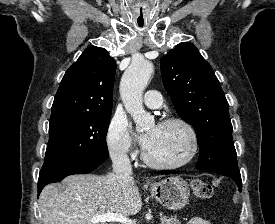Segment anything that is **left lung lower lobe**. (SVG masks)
<instances>
[{"mask_svg":"<svg viewBox=\"0 0 275 224\" xmlns=\"http://www.w3.org/2000/svg\"><path fill=\"white\" fill-rule=\"evenodd\" d=\"M197 169L199 170H206L203 167H200L197 165ZM174 173H178V172H174ZM224 176H228L230 178H232L234 180V182L237 184L239 190H242V181H241V175H224Z\"/></svg>","mask_w":275,"mask_h":224,"instance_id":"0a47b994","label":"left lung lower lobe"}]
</instances>
